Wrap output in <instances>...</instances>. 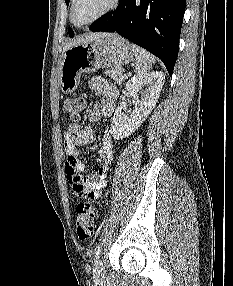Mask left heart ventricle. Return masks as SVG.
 Wrapping results in <instances>:
<instances>
[{
    "instance_id": "b2bd125f",
    "label": "left heart ventricle",
    "mask_w": 233,
    "mask_h": 286,
    "mask_svg": "<svg viewBox=\"0 0 233 286\" xmlns=\"http://www.w3.org/2000/svg\"><path fill=\"white\" fill-rule=\"evenodd\" d=\"M110 3L111 0H76L74 19L79 24L86 23L104 11Z\"/></svg>"
}]
</instances>
